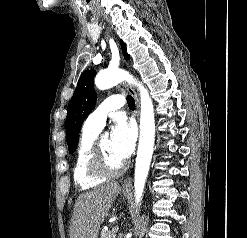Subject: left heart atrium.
<instances>
[{
    "label": "left heart atrium",
    "instance_id": "39dd6f15",
    "mask_svg": "<svg viewBox=\"0 0 247 238\" xmlns=\"http://www.w3.org/2000/svg\"><path fill=\"white\" fill-rule=\"evenodd\" d=\"M113 152L122 160L127 159L133 152L136 142V129L124 118H118L111 133Z\"/></svg>",
    "mask_w": 247,
    "mask_h": 238
}]
</instances>
